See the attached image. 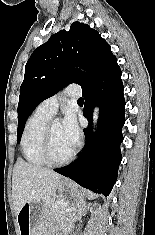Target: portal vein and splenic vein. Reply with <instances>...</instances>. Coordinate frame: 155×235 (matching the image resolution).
I'll list each match as a JSON object with an SVG mask.
<instances>
[{
    "label": "portal vein and splenic vein",
    "mask_w": 155,
    "mask_h": 235,
    "mask_svg": "<svg viewBox=\"0 0 155 235\" xmlns=\"http://www.w3.org/2000/svg\"><path fill=\"white\" fill-rule=\"evenodd\" d=\"M72 210H73V209H72L71 207H67V208H66V211H67V212H71Z\"/></svg>",
    "instance_id": "1"
}]
</instances>
